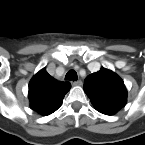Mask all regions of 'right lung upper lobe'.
<instances>
[{
    "mask_svg": "<svg viewBox=\"0 0 145 145\" xmlns=\"http://www.w3.org/2000/svg\"><path fill=\"white\" fill-rule=\"evenodd\" d=\"M70 88L69 82L57 81L43 68L29 83L30 106L41 115H50L60 107Z\"/></svg>",
    "mask_w": 145,
    "mask_h": 145,
    "instance_id": "obj_1",
    "label": "right lung upper lobe"
}]
</instances>
